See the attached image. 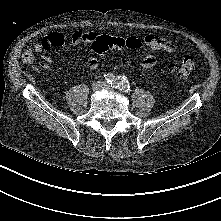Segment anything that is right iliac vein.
I'll use <instances>...</instances> for the list:
<instances>
[{"label":"right iliac vein","mask_w":221,"mask_h":221,"mask_svg":"<svg viewBox=\"0 0 221 221\" xmlns=\"http://www.w3.org/2000/svg\"><path fill=\"white\" fill-rule=\"evenodd\" d=\"M104 85H105V82H103V81H96V82H94V83L91 85V89H92L93 91H97V90H99V89H101V88H104Z\"/></svg>","instance_id":"right-iliac-vein-1"}]
</instances>
